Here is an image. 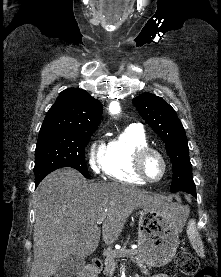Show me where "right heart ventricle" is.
Segmentation results:
<instances>
[{"instance_id":"1","label":"right heart ventricle","mask_w":221,"mask_h":277,"mask_svg":"<svg viewBox=\"0 0 221 277\" xmlns=\"http://www.w3.org/2000/svg\"><path fill=\"white\" fill-rule=\"evenodd\" d=\"M146 146H149V141L144 130L129 126L106 144L102 163L103 172L115 181L143 184L133 169V158L138 149Z\"/></svg>"}]
</instances>
